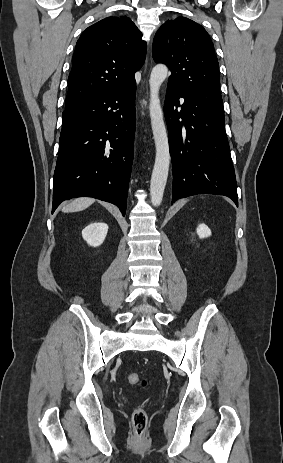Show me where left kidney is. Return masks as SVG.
Returning a JSON list of instances; mask_svg holds the SVG:
<instances>
[{"instance_id":"5707ae66","label":"left kidney","mask_w":283,"mask_h":463,"mask_svg":"<svg viewBox=\"0 0 283 463\" xmlns=\"http://www.w3.org/2000/svg\"><path fill=\"white\" fill-rule=\"evenodd\" d=\"M196 231L200 238H207L211 236V230L205 224H199Z\"/></svg>"}]
</instances>
